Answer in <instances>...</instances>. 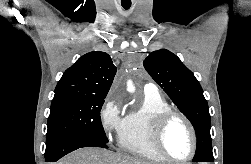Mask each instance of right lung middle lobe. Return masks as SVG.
Masks as SVG:
<instances>
[{
	"label": "right lung middle lobe",
	"instance_id": "1",
	"mask_svg": "<svg viewBox=\"0 0 251 164\" xmlns=\"http://www.w3.org/2000/svg\"><path fill=\"white\" fill-rule=\"evenodd\" d=\"M105 97L55 94L48 118L46 142L62 135H79L108 143L100 118Z\"/></svg>",
	"mask_w": 251,
	"mask_h": 164
}]
</instances>
